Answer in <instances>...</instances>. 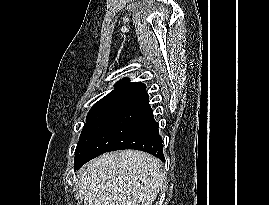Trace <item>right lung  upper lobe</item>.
I'll return each instance as SVG.
<instances>
[{
    "instance_id": "obj_1",
    "label": "right lung upper lobe",
    "mask_w": 269,
    "mask_h": 205,
    "mask_svg": "<svg viewBox=\"0 0 269 205\" xmlns=\"http://www.w3.org/2000/svg\"><path fill=\"white\" fill-rule=\"evenodd\" d=\"M116 88L99 100L94 106H121L129 108L148 100L145 84L130 82L127 78L120 80ZM93 106V107H94Z\"/></svg>"
}]
</instances>
